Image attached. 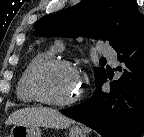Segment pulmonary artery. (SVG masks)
<instances>
[{
  "label": "pulmonary artery",
  "mask_w": 144,
  "mask_h": 137,
  "mask_svg": "<svg viewBox=\"0 0 144 137\" xmlns=\"http://www.w3.org/2000/svg\"><path fill=\"white\" fill-rule=\"evenodd\" d=\"M56 47L58 49H61L62 48V43L61 42H57L56 43ZM97 47H98V49H99L101 54L109 57L113 61L116 60V52L111 47H109L106 43L99 42Z\"/></svg>",
  "instance_id": "obj_1"
}]
</instances>
